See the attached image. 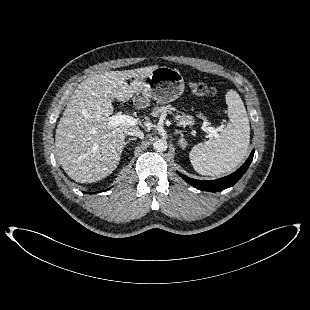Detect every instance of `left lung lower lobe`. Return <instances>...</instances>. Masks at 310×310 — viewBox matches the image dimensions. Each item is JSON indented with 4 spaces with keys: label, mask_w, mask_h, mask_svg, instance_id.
I'll use <instances>...</instances> for the list:
<instances>
[{
    "label": "left lung lower lobe",
    "mask_w": 310,
    "mask_h": 310,
    "mask_svg": "<svg viewBox=\"0 0 310 310\" xmlns=\"http://www.w3.org/2000/svg\"><path fill=\"white\" fill-rule=\"evenodd\" d=\"M254 150L251 152L249 158L246 160V162L234 173H232L229 176L217 179V180H211V181H202V180H196L189 178L180 172H177L181 178H183L186 182L191 184L193 187L204 190V191H210V192H218L222 191L226 188H229L233 186L246 172L248 169L254 155Z\"/></svg>",
    "instance_id": "1"
}]
</instances>
